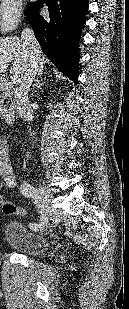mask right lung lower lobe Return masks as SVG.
I'll use <instances>...</instances> for the list:
<instances>
[{
	"label": "right lung lower lobe",
	"instance_id": "obj_1",
	"mask_svg": "<svg viewBox=\"0 0 129 309\" xmlns=\"http://www.w3.org/2000/svg\"><path fill=\"white\" fill-rule=\"evenodd\" d=\"M44 2L49 7V17L45 18L39 14ZM87 10L88 0H38L26 14L43 52L75 84Z\"/></svg>",
	"mask_w": 129,
	"mask_h": 309
}]
</instances>
